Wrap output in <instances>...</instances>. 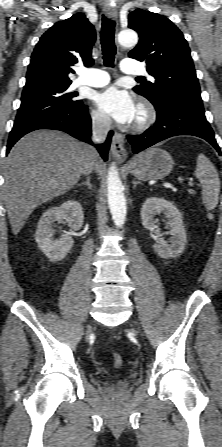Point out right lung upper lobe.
<instances>
[{
	"mask_svg": "<svg viewBox=\"0 0 222 447\" xmlns=\"http://www.w3.org/2000/svg\"><path fill=\"white\" fill-rule=\"evenodd\" d=\"M96 34L83 13L55 23L40 38L32 55L23 91L70 85L71 67L79 61L93 64L91 49Z\"/></svg>",
	"mask_w": 222,
	"mask_h": 447,
	"instance_id": "obj_1",
	"label": "right lung upper lobe"
}]
</instances>
